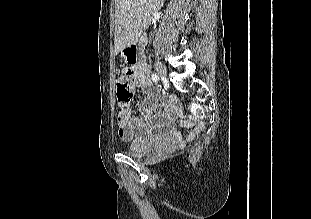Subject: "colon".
Segmentation results:
<instances>
[{"instance_id":"colon-1","label":"colon","mask_w":311,"mask_h":219,"mask_svg":"<svg viewBox=\"0 0 311 219\" xmlns=\"http://www.w3.org/2000/svg\"><path fill=\"white\" fill-rule=\"evenodd\" d=\"M129 47H128V49H129ZM128 49L126 51V55L129 59L128 61H129V63H135V58L129 54ZM116 86H117L116 95H117L118 103H119L121 108H125L128 105L129 101L131 100L132 94H133L132 85L129 82L126 69L122 70L120 72V74L117 78ZM192 109H193L196 116H198V117L203 116V110L199 106L194 105V106H192Z\"/></svg>"}]
</instances>
